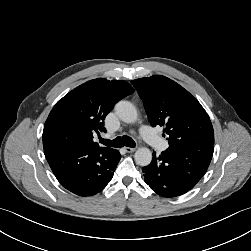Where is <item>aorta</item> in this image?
<instances>
[{
    "mask_svg": "<svg viewBox=\"0 0 251 251\" xmlns=\"http://www.w3.org/2000/svg\"><path fill=\"white\" fill-rule=\"evenodd\" d=\"M115 113L118 118L126 123H134L137 121L138 113L135 106L129 101H119L115 105ZM136 164L147 166L151 163L152 153L146 147L139 148L134 155Z\"/></svg>",
    "mask_w": 251,
    "mask_h": 251,
    "instance_id": "obj_1",
    "label": "aorta"
}]
</instances>
